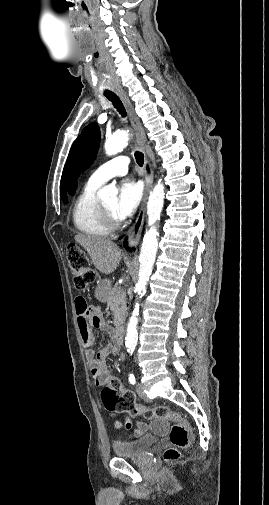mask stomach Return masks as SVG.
Returning a JSON list of instances; mask_svg holds the SVG:
<instances>
[{"label":"stomach","instance_id":"obj_1","mask_svg":"<svg viewBox=\"0 0 269 505\" xmlns=\"http://www.w3.org/2000/svg\"><path fill=\"white\" fill-rule=\"evenodd\" d=\"M110 288H111L110 281L107 279L102 280L96 289L97 297L100 300H105Z\"/></svg>","mask_w":269,"mask_h":505}]
</instances>
